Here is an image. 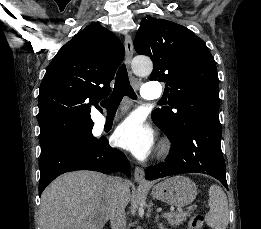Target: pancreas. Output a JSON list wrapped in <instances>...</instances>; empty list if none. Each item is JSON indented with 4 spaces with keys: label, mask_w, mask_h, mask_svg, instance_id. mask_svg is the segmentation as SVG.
I'll use <instances>...</instances> for the list:
<instances>
[{
    "label": "pancreas",
    "mask_w": 261,
    "mask_h": 229,
    "mask_svg": "<svg viewBox=\"0 0 261 229\" xmlns=\"http://www.w3.org/2000/svg\"><path fill=\"white\" fill-rule=\"evenodd\" d=\"M171 217H166L169 225L177 227V225H183L184 221H187L190 217V211H185V213H170Z\"/></svg>",
    "instance_id": "cf45deb5"
}]
</instances>
